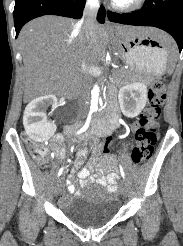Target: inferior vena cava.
I'll return each instance as SVG.
<instances>
[{"instance_id":"1","label":"inferior vena cava","mask_w":183,"mask_h":246,"mask_svg":"<svg viewBox=\"0 0 183 246\" xmlns=\"http://www.w3.org/2000/svg\"><path fill=\"white\" fill-rule=\"evenodd\" d=\"M99 9V0H87L85 8L83 11L82 19L77 23L81 28L83 35L85 37H90L93 34L94 28L96 26V17ZM82 72L84 73V78L80 82V97L79 106L83 107L87 96V74L88 66L82 61L81 64Z\"/></svg>"}]
</instances>
